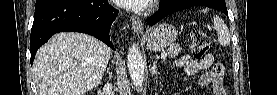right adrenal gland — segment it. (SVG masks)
Masks as SVG:
<instances>
[{
  "label": "right adrenal gland",
  "instance_id": "obj_1",
  "mask_svg": "<svg viewBox=\"0 0 277 95\" xmlns=\"http://www.w3.org/2000/svg\"><path fill=\"white\" fill-rule=\"evenodd\" d=\"M107 72H108V74H109V80H110L111 77H112V73L110 72V70H108Z\"/></svg>",
  "mask_w": 277,
  "mask_h": 95
}]
</instances>
